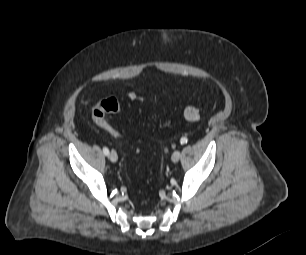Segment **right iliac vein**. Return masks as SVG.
Returning a JSON list of instances; mask_svg holds the SVG:
<instances>
[{
    "label": "right iliac vein",
    "instance_id": "1",
    "mask_svg": "<svg viewBox=\"0 0 306 255\" xmlns=\"http://www.w3.org/2000/svg\"><path fill=\"white\" fill-rule=\"evenodd\" d=\"M109 159L112 161V162H116L118 160V156H117V153L112 150L110 153H109Z\"/></svg>",
    "mask_w": 306,
    "mask_h": 255
}]
</instances>
